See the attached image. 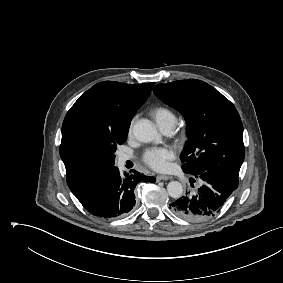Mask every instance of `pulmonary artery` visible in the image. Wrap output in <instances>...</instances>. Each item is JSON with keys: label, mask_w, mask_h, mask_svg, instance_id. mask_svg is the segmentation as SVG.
<instances>
[{"label": "pulmonary artery", "mask_w": 283, "mask_h": 283, "mask_svg": "<svg viewBox=\"0 0 283 283\" xmlns=\"http://www.w3.org/2000/svg\"><path fill=\"white\" fill-rule=\"evenodd\" d=\"M175 127V123L174 122H166L163 123L162 125L159 126L160 130L164 133V134H170L172 133L173 129ZM131 158V156L126 155V154H121L118 157V164L120 166H122L127 160H129Z\"/></svg>", "instance_id": "e3ab8cb5"}]
</instances>
